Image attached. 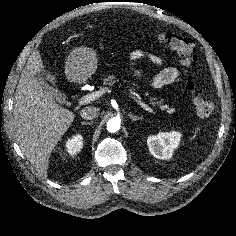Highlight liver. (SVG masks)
Segmentation results:
<instances>
[{
  "instance_id": "liver-1",
  "label": "liver",
  "mask_w": 236,
  "mask_h": 236,
  "mask_svg": "<svg viewBox=\"0 0 236 236\" xmlns=\"http://www.w3.org/2000/svg\"><path fill=\"white\" fill-rule=\"evenodd\" d=\"M55 84L44 70L39 51H34L22 71L14 97L15 137L22 153L41 177L47 176L49 158L55 145L71 126L75 114L60 106L44 92L37 74Z\"/></svg>"
}]
</instances>
